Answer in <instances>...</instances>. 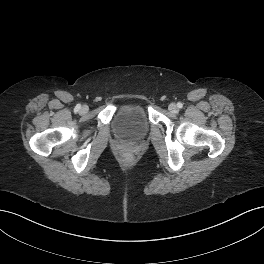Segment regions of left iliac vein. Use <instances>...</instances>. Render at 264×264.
Masks as SVG:
<instances>
[{
  "instance_id": "4c4485c4",
  "label": "left iliac vein",
  "mask_w": 264,
  "mask_h": 264,
  "mask_svg": "<svg viewBox=\"0 0 264 264\" xmlns=\"http://www.w3.org/2000/svg\"><path fill=\"white\" fill-rule=\"evenodd\" d=\"M168 109H169V111L172 112V113H177V112H178V108H177L176 104H174V103H171V104L168 106Z\"/></svg>"
}]
</instances>
